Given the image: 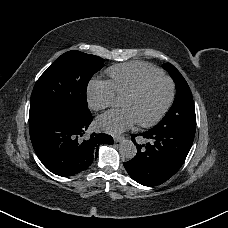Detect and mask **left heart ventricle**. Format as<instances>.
I'll return each instance as SVG.
<instances>
[{"label": "left heart ventricle", "instance_id": "left-heart-ventricle-1", "mask_svg": "<svg viewBox=\"0 0 228 228\" xmlns=\"http://www.w3.org/2000/svg\"><path fill=\"white\" fill-rule=\"evenodd\" d=\"M167 93V83L158 81L141 96L125 99L123 105L132 111L138 121L146 122L159 112L167 97Z\"/></svg>", "mask_w": 228, "mask_h": 228}]
</instances>
